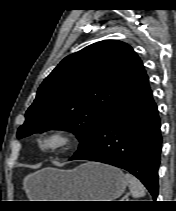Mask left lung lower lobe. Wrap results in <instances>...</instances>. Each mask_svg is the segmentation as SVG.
Here are the masks:
<instances>
[{
	"label": "left lung lower lobe",
	"instance_id": "obj_1",
	"mask_svg": "<svg viewBox=\"0 0 176 211\" xmlns=\"http://www.w3.org/2000/svg\"><path fill=\"white\" fill-rule=\"evenodd\" d=\"M161 148L157 105L148 88L113 112L91 145L72 159L123 168L140 179L156 199Z\"/></svg>",
	"mask_w": 176,
	"mask_h": 211
}]
</instances>
